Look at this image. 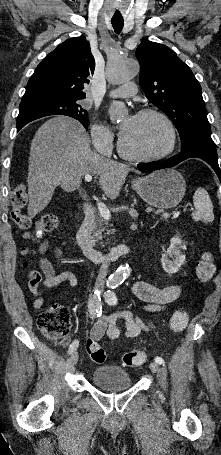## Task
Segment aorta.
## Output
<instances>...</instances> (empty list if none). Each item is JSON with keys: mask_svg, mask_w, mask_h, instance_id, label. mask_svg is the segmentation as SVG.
Here are the masks:
<instances>
[{"mask_svg": "<svg viewBox=\"0 0 221 455\" xmlns=\"http://www.w3.org/2000/svg\"><path fill=\"white\" fill-rule=\"evenodd\" d=\"M139 72V65L134 60H110L106 67V76L110 84H119L134 78ZM110 119L115 122L127 115L124 103L113 101L110 106ZM128 265H121L112 274L110 282L119 283L127 276Z\"/></svg>", "mask_w": 221, "mask_h": 455, "instance_id": "1", "label": "aorta"}]
</instances>
